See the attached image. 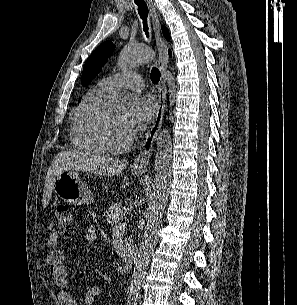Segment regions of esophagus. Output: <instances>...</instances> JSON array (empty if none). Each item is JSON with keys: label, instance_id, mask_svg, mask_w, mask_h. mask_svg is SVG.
<instances>
[{"label": "esophagus", "instance_id": "obj_1", "mask_svg": "<svg viewBox=\"0 0 297 305\" xmlns=\"http://www.w3.org/2000/svg\"><path fill=\"white\" fill-rule=\"evenodd\" d=\"M152 20L153 27L155 32L156 44L158 49V68L161 72V79L158 85V105L157 111L155 114V118L151 127L149 128L145 140L142 143L140 153L135 158L134 163L132 165L134 170L137 171H146L147 166L149 164L150 158L153 152V146L155 141L158 138V132L162 125V120L164 116L165 106H166V70L169 63L168 51H167V43L164 40L161 29H160V18L158 13L156 12V8L153 4L152 0H147Z\"/></svg>", "mask_w": 297, "mask_h": 305}]
</instances>
